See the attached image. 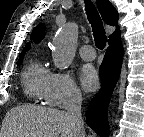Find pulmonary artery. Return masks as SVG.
<instances>
[{"label": "pulmonary artery", "mask_w": 144, "mask_h": 137, "mask_svg": "<svg viewBox=\"0 0 144 137\" xmlns=\"http://www.w3.org/2000/svg\"><path fill=\"white\" fill-rule=\"evenodd\" d=\"M79 54L84 60H94L96 57V52L91 45H83L79 49Z\"/></svg>", "instance_id": "obj_1"}]
</instances>
